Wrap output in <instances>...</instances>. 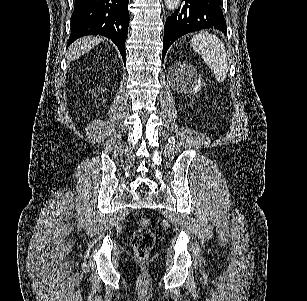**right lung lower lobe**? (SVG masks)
<instances>
[{
  "instance_id": "right-lung-lower-lobe-1",
  "label": "right lung lower lobe",
  "mask_w": 307,
  "mask_h": 301,
  "mask_svg": "<svg viewBox=\"0 0 307 301\" xmlns=\"http://www.w3.org/2000/svg\"><path fill=\"white\" fill-rule=\"evenodd\" d=\"M128 2L129 0H75L67 46L82 36L103 35L118 47L125 62Z\"/></svg>"
}]
</instances>
